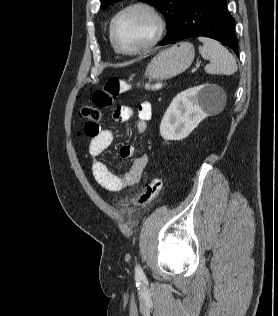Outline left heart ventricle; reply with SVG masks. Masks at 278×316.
I'll return each instance as SVG.
<instances>
[{"instance_id":"obj_1","label":"left heart ventricle","mask_w":278,"mask_h":316,"mask_svg":"<svg viewBox=\"0 0 278 316\" xmlns=\"http://www.w3.org/2000/svg\"><path fill=\"white\" fill-rule=\"evenodd\" d=\"M153 33L152 18L141 10L126 13L115 26L116 41L125 50H132L145 44Z\"/></svg>"}]
</instances>
